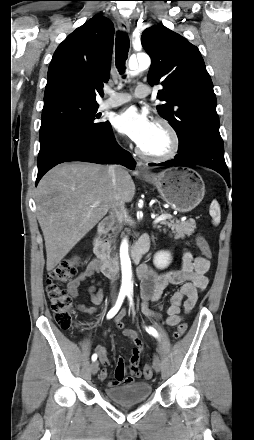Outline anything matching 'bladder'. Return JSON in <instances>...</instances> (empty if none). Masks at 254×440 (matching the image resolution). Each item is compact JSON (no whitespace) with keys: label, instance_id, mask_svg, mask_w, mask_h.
<instances>
[{"label":"bladder","instance_id":"31cf9c89","mask_svg":"<svg viewBox=\"0 0 254 440\" xmlns=\"http://www.w3.org/2000/svg\"><path fill=\"white\" fill-rule=\"evenodd\" d=\"M152 385L149 382H133L115 387H107L105 393L114 402L121 404L140 403L152 395Z\"/></svg>","mask_w":254,"mask_h":440}]
</instances>
